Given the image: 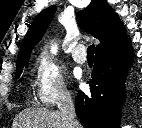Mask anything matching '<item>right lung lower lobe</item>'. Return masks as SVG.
I'll list each match as a JSON object with an SVG mask.
<instances>
[{"label":"right lung lower lobe","instance_id":"obj_1","mask_svg":"<svg viewBox=\"0 0 142 128\" xmlns=\"http://www.w3.org/2000/svg\"><path fill=\"white\" fill-rule=\"evenodd\" d=\"M130 42L107 53L96 54L90 95L78 92L75 110L88 128H119L126 99L125 78L133 60Z\"/></svg>","mask_w":142,"mask_h":128}]
</instances>
